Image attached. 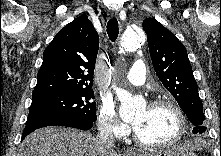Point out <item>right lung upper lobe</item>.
I'll return each instance as SVG.
<instances>
[{
  "instance_id": "obj_1",
  "label": "right lung upper lobe",
  "mask_w": 221,
  "mask_h": 156,
  "mask_svg": "<svg viewBox=\"0 0 221 156\" xmlns=\"http://www.w3.org/2000/svg\"><path fill=\"white\" fill-rule=\"evenodd\" d=\"M98 48V33L86 15L67 24L43 53L32 98L91 89Z\"/></svg>"
}]
</instances>
